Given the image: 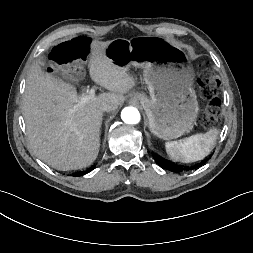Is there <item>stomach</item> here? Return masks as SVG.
I'll return each mask as SVG.
<instances>
[{"instance_id": "stomach-1", "label": "stomach", "mask_w": 253, "mask_h": 253, "mask_svg": "<svg viewBox=\"0 0 253 253\" xmlns=\"http://www.w3.org/2000/svg\"><path fill=\"white\" fill-rule=\"evenodd\" d=\"M106 55L113 63L143 68L149 97L132 94L146 112L150 131L160 139L172 140L192 130L199 107L192 87L193 69L185 53L161 37L117 38Z\"/></svg>"}]
</instances>
